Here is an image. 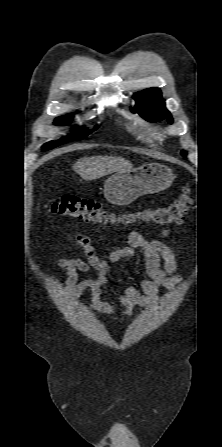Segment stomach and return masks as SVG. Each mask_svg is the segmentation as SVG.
Instances as JSON below:
<instances>
[{"label":"stomach","instance_id":"obj_1","mask_svg":"<svg viewBox=\"0 0 222 447\" xmlns=\"http://www.w3.org/2000/svg\"><path fill=\"white\" fill-rule=\"evenodd\" d=\"M175 174L168 166L148 163L136 169L117 171L104 184V196L108 202L124 206L145 194L167 189Z\"/></svg>","mask_w":222,"mask_h":447}]
</instances>
